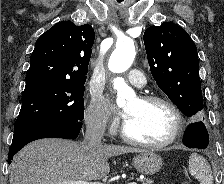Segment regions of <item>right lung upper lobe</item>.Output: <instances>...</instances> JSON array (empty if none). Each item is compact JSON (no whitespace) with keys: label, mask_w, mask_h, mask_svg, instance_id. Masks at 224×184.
<instances>
[{"label":"right lung upper lobe","mask_w":224,"mask_h":184,"mask_svg":"<svg viewBox=\"0 0 224 184\" xmlns=\"http://www.w3.org/2000/svg\"><path fill=\"white\" fill-rule=\"evenodd\" d=\"M94 38V30L89 24L77 26L70 21L55 24L36 41L26 84L85 82Z\"/></svg>","instance_id":"obj_1"}]
</instances>
